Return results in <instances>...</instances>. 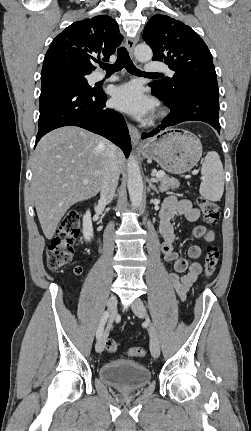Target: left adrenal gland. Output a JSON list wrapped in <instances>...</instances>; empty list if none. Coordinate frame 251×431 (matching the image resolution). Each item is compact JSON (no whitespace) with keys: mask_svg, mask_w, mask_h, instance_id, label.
Segmentation results:
<instances>
[{"mask_svg":"<svg viewBox=\"0 0 251 431\" xmlns=\"http://www.w3.org/2000/svg\"><path fill=\"white\" fill-rule=\"evenodd\" d=\"M148 190L152 189L154 190L156 193H158L159 191L157 190L156 186L151 182V180L148 179Z\"/></svg>","mask_w":251,"mask_h":431,"instance_id":"1","label":"left adrenal gland"}]
</instances>
